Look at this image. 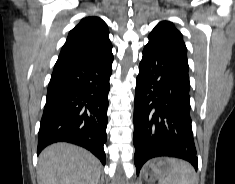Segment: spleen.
<instances>
[{"label":"spleen","mask_w":235,"mask_h":184,"mask_svg":"<svg viewBox=\"0 0 235 184\" xmlns=\"http://www.w3.org/2000/svg\"><path fill=\"white\" fill-rule=\"evenodd\" d=\"M168 170L158 184H198V176L189 162L167 158Z\"/></svg>","instance_id":"obj_1"}]
</instances>
